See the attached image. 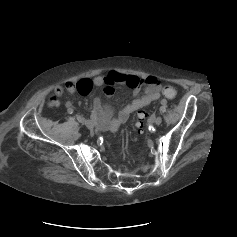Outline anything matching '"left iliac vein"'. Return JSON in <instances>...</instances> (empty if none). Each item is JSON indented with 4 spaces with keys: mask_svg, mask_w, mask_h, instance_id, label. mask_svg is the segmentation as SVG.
Wrapping results in <instances>:
<instances>
[{
    "mask_svg": "<svg viewBox=\"0 0 237 237\" xmlns=\"http://www.w3.org/2000/svg\"><path fill=\"white\" fill-rule=\"evenodd\" d=\"M161 122H162V118L161 117H157L155 119V125L159 126L161 124Z\"/></svg>",
    "mask_w": 237,
    "mask_h": 237,
    "instance_id": "left-iliac-vein-1",
    "label": "left iliac vein"
}]
</instances>
